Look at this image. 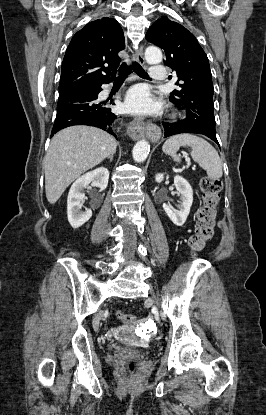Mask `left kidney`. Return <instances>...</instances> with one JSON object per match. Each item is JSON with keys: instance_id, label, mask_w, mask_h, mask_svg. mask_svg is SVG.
<instances>
[{"instance_id": "left-kidney-1", "label": "left kidney", "mask_w": 266, "mask_h": 415, "mask_svg": "<svg viewBox=\"0 0 266 415\" xmlns=\"http://www.w3.org/2000/svg\"><path fill=\"white\" fill-rule=\"evenodd\" d=\"M163 179V174H157L155 176V180L158 183L162 182ZM174 185L180 195L181 204L179 210L173 211L167 204H163V209L175 225L182 226L185 223L192 206L193 190L188 181L179 175L174 177Z\"/></svg>"}]
</instances>
